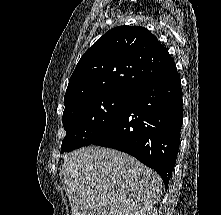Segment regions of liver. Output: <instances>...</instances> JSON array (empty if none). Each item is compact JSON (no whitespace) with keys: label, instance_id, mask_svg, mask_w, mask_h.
Listing matches in <instances>:
<instances>
[{"label":"liver","instance_id":"obj_1","mask_svg":"<svg viewBox=\"0 0 221 215\" xmlns=\"http://www.w3.org/2000/svg\"><path fill=\"white\" fill-rule=\"evenodd\" d=\"M62 174L73 215H132L156 204L162 194L156 172L110 148L65 154Z\"/></svg>","mask_w":221,"mask_h":215}]
</instances>
